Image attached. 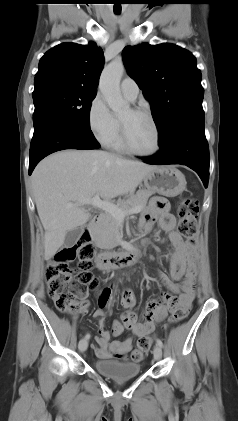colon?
<instances>
[{"mask_svg":"<svg viewBox=\"0 0 238 421\" xmlns=\"http://www.w3.org/2000/svg\"><path fill=\"white\" fill-rule=\"evenodd\" d=\"M198 213L197 202L185 198L178 207V232L186 242L194 246L197 242L196 217ZM95 254L94 246L88 236L82 237L75 245L64 246L58 250L49 261L46 268L48 294L56 308L64 313H77L84 308V303L79 299L84 297L89 289H96L98 280L91 274L92 259ZM78 258V273L75 275L70 262ZM100 297V296H99ZM190 307L176 306L172 310L171 323L183 321L189 314ZM152 345V338L148 335L141 336L136 348L130 354L132 361H141ZM119 357L126 359L127 355Z\"/></svg>","mask_w":238,"mask_h":421,"instance_id":"5ec220e1","label":"colon"}]
</instances>
